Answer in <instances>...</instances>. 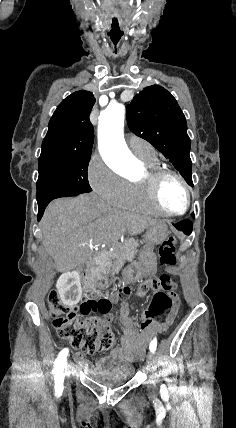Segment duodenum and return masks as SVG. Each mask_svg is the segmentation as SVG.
Masks as SVG:
<instances>
[{"mask_svg":"<svg viewBox=\"0 0 236 428\" xmlns=\"http://www.w3.org/2000/svg\"><path fill=\"white\" fill-rule=\"evenodd\" d=\"M90 268L91 262L89 260L84 261L78 268V273L83 282L84 288L96 294H102L92 277Z\"/></svg>","mask_w":236,"mask_h":428,"instance_id":"410a0bca","label":"duodenum"}]
</instances>
